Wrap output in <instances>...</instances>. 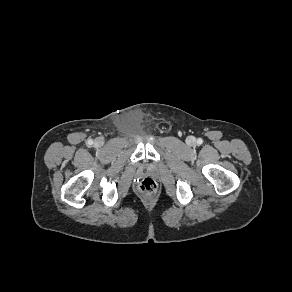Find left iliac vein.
Here are the masks:
<instances>
[{
  "mask_svg": "<svg viewBox=\"0 0 292 292\" xmlns=\"http://www.w3.org/2000/svg\"><path fill=\"white\" fill-rule=\"evenodd\" d=\"M188 143H189L190 145H193V144L195 143V139H194L193 137H189V138H188Z\"/></svg>",
  "mask_w": 292,
  "mask_h": 292,
  "instance_id": "obj_1",
  "label": "left iliac vein"
}]
</instances>
